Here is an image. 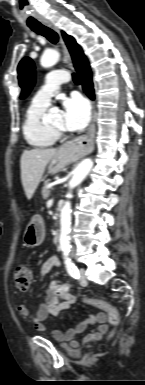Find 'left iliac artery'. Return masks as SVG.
<instances>
[{
    "instance_id": "44dca946",
    "label": "left iliac artery",
    "mask_w": 145,
    "mask_h": 385,
    "mask_svg": "<svg viewBox=\"0 0 145 385\" xmlns=\"http://www.w3.org/2000/svg\"><path fill=\"white\" fill-rule=\"evenodd\" d=\"M63 256H64V263H65L68 274L71 277L78 279L79 278V271H78L77 267L75 266V264L71 261V259L69 257V251H64Z\"/></svg>"
}]
</instances>
